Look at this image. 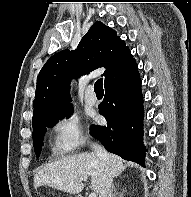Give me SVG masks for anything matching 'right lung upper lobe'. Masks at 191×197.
I'll return each instance as SVG.
<instances>
[{"mask_svg": "<svg viewBox=\"0 0 191 197\" xmlns=\"http://www.w3.org/2000/svg\"><path fill=\"white\" fill-rule=\"evenodd\" d=\"M136 66L129 48L116 32L102 22L94 23L76 50L56 53L39 72L32 126L73 107L68 93L71 79L105 67V85Z\"/></svg>", "mask_w": 191, "mask_h": 197, "instance_id": "1", "label": "right lung upper lobe"}]
</instances>
